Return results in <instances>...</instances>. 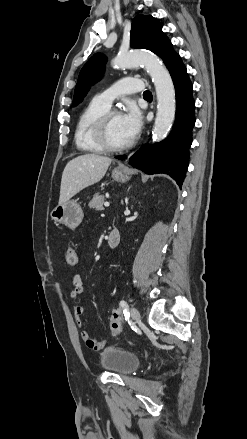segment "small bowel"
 I'll use <instances>...</instances> for the list:
<instances>
[{
	"label": "small bowel",
	"instance_id": "1",
	"mask_svg": "<svg viewBox=\"0 0 247 439\" xmlns=\"http://www.w3.org/2000/svg\"><path fill=\"white\" fill-rule=\"evenodd\" d=\"M84 294V284L82 281V278L79 274H75L73 276V289L71 291V297L76 299L81 297ZM74 318L76 321V324L79 328L83 327V323H82V317L84 314V304L82 302L78 303L75 307H74ZM80 336L81 339L83 340L84 344L86 345L87 348H89L90 350H94V351H98L101 350L102 348H104L105 346V341L104 340H94L90 337L89 333L84 330L81 329L80 332Z\"/></svg>",
	"mask_w": 247,
	"mask_h": 439
}]
</instances>
